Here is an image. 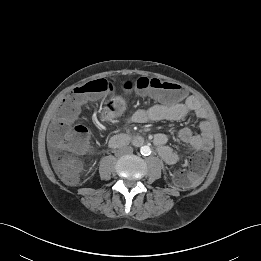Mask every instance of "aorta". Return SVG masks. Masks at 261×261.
<instances>
[{"label": "aorta", "mask_w": 261, "mask_h": 261, "mask_svg": "<svg viewBox=\"0 0 261 261\" xmlns=\"http://www.w3.org/2000/svg\"><path fill=\"white\" fill-rule=\"evenodd\" d=\"M140 151L142 155H149L151 153V149L149 146H142Z\"/></svg>", "instance_id": "762f6f07"}]
</instances>
